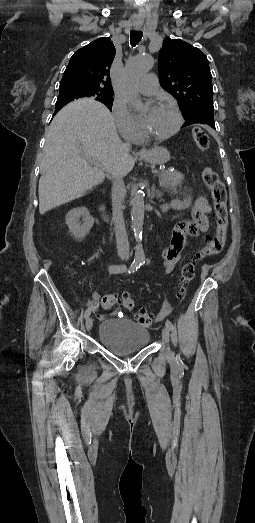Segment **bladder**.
<instances>
[{
    "label": "bladder",
    "instance_id": "obj_1",
    "mask_svg": "<svg viewBox=\"0 0 255 523\" xmlns=\"http://www.w3.org/2000/svg\"><path fill=\"white\" fill-rule=\"evenodd\" d=\"M98 338L109 352L129 354L144 348L149 341L150 333L146 328L129 320L118 324L116 320L105 319L100 326Z\"/></svg>",
    "mask_w": 255,
    "mask_h": 523
}]
</instances>
